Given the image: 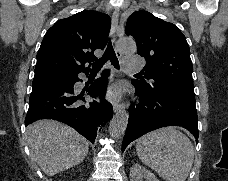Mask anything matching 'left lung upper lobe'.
Listing matches in <instances>:
<instances>
[{
  "mask_svg": "<svg viewBox=\"0 0 228 181\" xmlns=\"http://www.w3.org/2000/svg\"><path fill=\"white\" fill-rule=\"evenodd\" d=\"M126 34L135 38L137 53L147 62L132 81L143 87L163 85L194 94L189 45L177 26L147 11L134 12Z\"/></svg>",
  "mask_w": 228,
  "mask_h": 181,
  "instance_id": "left-lung-upper-lobe-1",
  "label": "left lung upper lobe"
}]
</instances>
